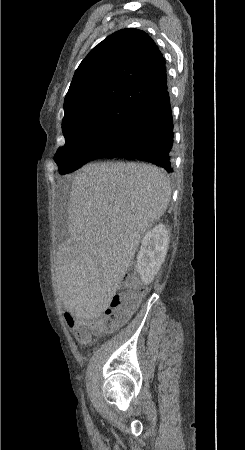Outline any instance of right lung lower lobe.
Wrapping results in <instances>:
<instances>
[{"mask_svg": "<svg viewBox=\"0 0 245 450\" xmlns=\"http://www.w3.org/2000/svg\"><path fill=\"white\" fill-rule=\"evenodd\" d=\"M172 145L173 119L166 88L133 114L125 135L118 142L107 151L98 152L91 160L109 157L138 159L171 173Z\"/></svg>", "mask_w": 245, "mask_h": 450, "instance_id": "right-lung-lower-lobe-1", "label": "right lung lower lobe"}]
</instances>
